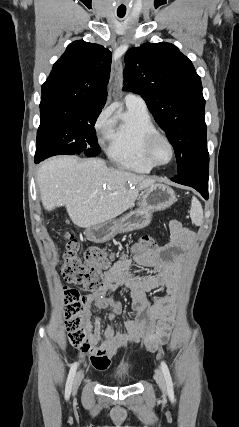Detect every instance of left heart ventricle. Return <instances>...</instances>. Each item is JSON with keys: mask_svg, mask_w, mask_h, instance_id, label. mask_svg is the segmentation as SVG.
Masks as SVG:
<instances>
[{"mask_svg": "<svg viewBox=\"0 0 239 427\" xmlns=\"http://www.w3.org/2000/svg\"><path fill=\"white\" fill-rule=\"evenodd\" d=\"M153 155L158 162L164 163L170 157V149L164 141H159L154 147Z\"/></svg>", "mask_w": 239, "mask_h": 427, "instance_id": "1", "label": "left heart ventricle"}]
</instances>
